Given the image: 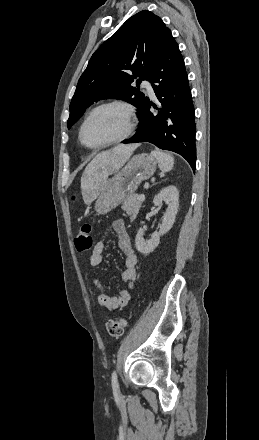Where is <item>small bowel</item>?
<instances>
[{"instance_id": "1", "label": "small bowel", "mask_w": 259, "mask_h": 440, "mask_svg": "<svg viewBox=\"0 0 259 440\" xmlns=\"http://www.w3.org/2000/svg\"><path fill=\"white\" fill-rule=\"evenodd\" d=\"M111 228L117 236V244L124 255V270L122 272V281L125 288H122L117 296L111 297L104 292L102 281L94 272L93 268L99 266L103 261L105 245L102 241L97 242L89 258L90 268L88 269L89 278L94 286L101 292L98 296V304L108 310L123 309L130 301V290L133 288L137 278V256L131 244L129 234L122 219L114 220Z\"/></svg>"}]
</instances>
